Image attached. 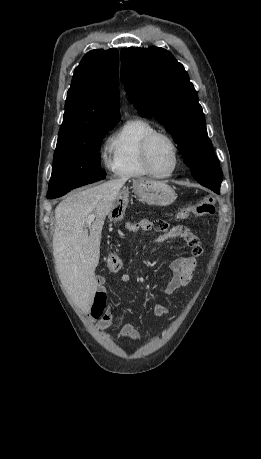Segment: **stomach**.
<instances>
[{
    "mask_svg": "<svg viewBox=\"0 0 261 459\" xmlns=\"http://www.w3.org/2000/svg\"><path fill=\"white\" fill-rule=\"evenodd\" d=\"M132 188L142 202L148 205L169 206L176 200L175 191L165 182L148 178L133 180ZM129 191L123 188L117 198L116 206L110 212L112 220H117L123 214L128 203Z\"/></svg>",
    "mask_w": 261,
    "mask_h": 459,
    "instance_id": "1",
    "label": "stomach"
}]
</instances>
